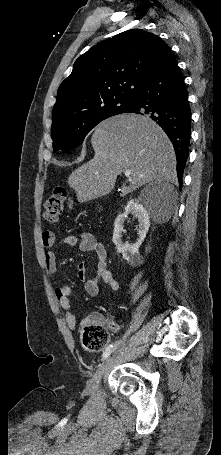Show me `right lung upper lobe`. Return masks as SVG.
Returning a JSON list of instances; mask_svg holds the SVG:
<instances>
[{"label": "right lung upper lobe", "instance_id": "right-lung-upper-lobe-1", "mask_svg": "<svg viewBox=\"0 0 221 455\" xmlns=\"http://www.w3.org/2000/svg\"><path fill=\"white\" fill-rule=\"evenodd\" d=\"M158 36L131 29L80 56L60 85L52 122L110 99H132L170 52Z\"/></svg>", "mask_w": 221, "mask_h": 455}]
</instances>
